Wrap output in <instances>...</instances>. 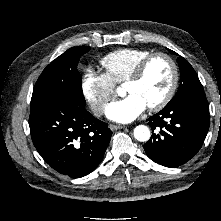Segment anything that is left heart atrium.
<instances>
[{"label":"left heart atrium","instance_id":"39dd6f15","mask_svg":"<svg viewBox=\"0 0 221 221\" xmlns=\"http://www.w3.org/2000/svg\"><path fill=\"white\" fill-rule=\"evenodd\" d=\"M146 107L137 95L129 94L124 99L109 104L106 108V116L115 122L129 123L136 119Z\"/></svg>","mask_w":221,"mask_h":221}]
</instances>
